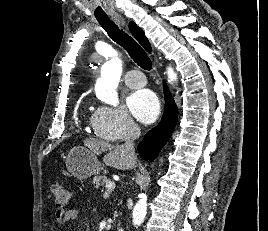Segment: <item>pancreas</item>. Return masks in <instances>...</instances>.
Masks as SVG:
<instances>
[{"label": "pancreas", "mask_w": 268, "mask_h": 231, "mask_svg": "<svg viewBox=\"0 0 268 231\" xmlns=\"http://www.w3.org/2000/svg\"><path fill=\"white\" fill-rule=\"evenodd\" d=\"M106 181H109V179L105 176L97 175L93 179V184L96 188H99L100 186H104Z\"/></svg>", "instance_id": "obj_1"}]
</instances>
